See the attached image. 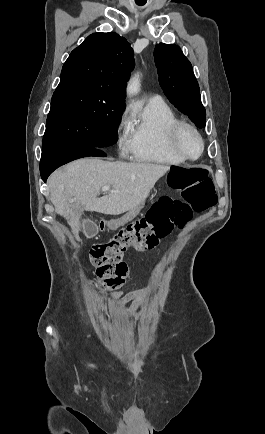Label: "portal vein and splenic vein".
Listing matches in <instances>:
<instances>
[{
  "mask_svg": "<svg viewBox=\"0 0 265 434\" xmlns=\"http://www.w3.org/2000/svg\"><path fill=\"white\" fill-rule=\"evenodd\" d=\"M110 190V186H103L102 192H108ZM69 202H75V200H69Z\"/></svg>",
  "mask_w": 265,
  "mask_h": 434,
  "instance_id": "1",
  "label": "portal vein and splenic vein"
}]
</instances>
